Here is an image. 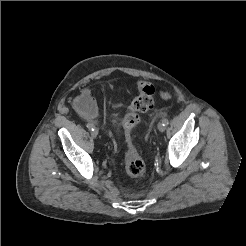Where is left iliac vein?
Returning a JSON list of instances; mask_svg holds the SVG:
<instances>
[{"label": "left iliac vein", "instance_id": "1", "mask_svg": "<svg viewBox=\"0 0 246 246\" xmlns=\"http://www.w3.org/2000/svg\"><path fill=\"white\" fill-rule=\"evenodd\" d=\"M165 129H166V127L163 125V123L160 122V123L158 124V130H159L160 132H164Z\"/></svg>", "mask_w": 246, "mask_h": 246}]
</instances>
